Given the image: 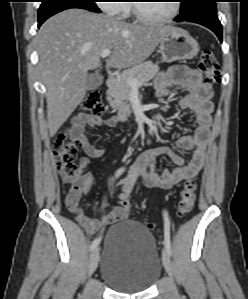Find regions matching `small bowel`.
I'll use <instances>...</instances> for the list:
<instances>
[{
    "mask_svg": "<svg viewBox=\"0 0 248 299\" xmlns=\"http://www.w3.org/2000/svg\"><path fill=\"white\" fill-rule=\"evenodd\" d=\"M174 87H181L185 90V94L179 100V106L183 110L192 111L197 123L191 133L177 139L176 145L182 151L193 150V155L188 162H185L179 155L165 146L153 147L142 152L130 175L121 182L122 190L119 193L121 202L128 199L133 184L138 178H142L147 187L170 189L196 176L204 166L213 112L210 86L203 81L200 71L176 66L170 71L158 75L155 86L156 97L162 99L168 96ZM115 124V117L104 120L99 116L80 114L74 118L67 133L70 137L82 140L85 156L80 160L81 169H86L88 166V158H103L106 154L104 149L91 144L84 137L83 133L86 127H113ZM159 155L169 156L176 167L171 171L165 170L158 173L155 170V165L156 157ZM82 181L84 192L89 193L91 191V177L85 175ZM120 208L121 205L116 206L101 219H92L82 211L75 213V218L88 233H94L103 226L121 221L124 216L120 213Z\"/></svg>",
    "mask_w": 248,
    "mask_h": 299,
    "instance_id": "obj_1",
    "label": "small bowel"
}]
</instances>
